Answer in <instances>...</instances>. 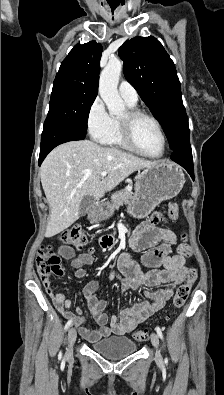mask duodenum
I'll return each instance as SVG.
<instances>
[{"label": "duodenum", "instance_id": "duodenum-1", "mask_svg": "<svg viewBox=\"0 0 224 395\" xmlns=\"http://www.w3.org/2000/svg\"><path fill=\"white\" fill-rule=\"evenodd\" d=\"M99 202L97 201L95 203V206H97ZM101 246L105 249L111 248L115 244V238L112 235H104L101 238Z\"/></svg>", "mask_w": 224, "mask_h": 395}]
</instances>
